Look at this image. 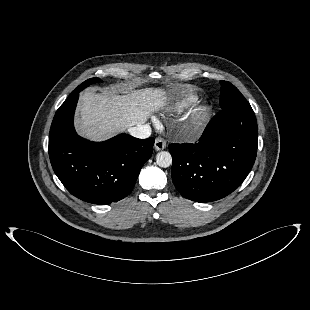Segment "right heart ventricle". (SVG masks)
Here are the masks:
<instances>
[{"label":"right heart ventricle","mask_w":310,"mask_h":310,"mask_svg":"<svg viewBox=\"0 0 310 310\" xmlns=\"http://www.w3.org/2000/svg\"><path fill=\"white\" fill-rule=\"evenodd\" d=\"M197 101V96L193 94H185L179 97L175 103V109L177 111L184 110Z\"/></svg>","instance_id":"e07e8e85"}]
</instances>
